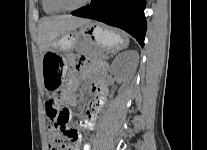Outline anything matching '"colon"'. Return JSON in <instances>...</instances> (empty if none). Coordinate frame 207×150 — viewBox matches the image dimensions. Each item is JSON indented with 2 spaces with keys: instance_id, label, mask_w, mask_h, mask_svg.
Masks as SVG:
<instances>
[{
  "instance_id": "colon-1",
  "label": "colon",
  "mask_w": 207,
  "mask_h": 150,
  "mask_svg": "<svg viewBox=\"0 0 207 150\" xmlns=\"http://www.w3.org/2000/svg\"><path fill=\"white\" fill-rule=\"evenodd\" d=\"M45 107L49 118L47 139L50 150H75L77 132L67 128L70 119L69 110L61 107L59 97L48 99Z\"/></svg>"
}]
</instances>
